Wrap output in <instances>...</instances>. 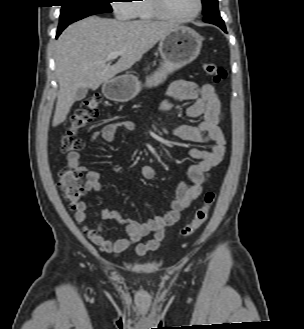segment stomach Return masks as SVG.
<instances>
[{"instance_id":"obj_1","label":"stomach","mask_w":304,"mask_h":329,"mask_svg":"<svg viewBox=\"0 0 304 329\" xmlns=\"http://www.w3.org/2000/svg\"><path fill=\"white\" fill-rule=\"evenodd\" d=\"M203 38L193 29L185 26L175 27L159 42L162 58L160 67L146 79L145 86L153 87L162 83L166 77L195 60L201 50ZM142 85L130 74L122 75L104 83L102 92L112 101L128 102L141 91Z\"/></svg>"}]
</instances>
